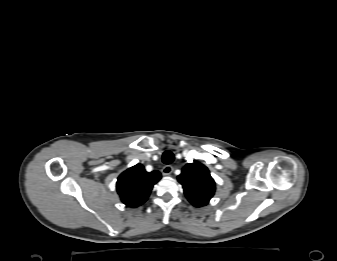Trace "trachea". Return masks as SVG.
I'll use <instances>...</instances> for the list:
<instances>
[{"mask_svg":"<svg viewBox=\"0 0 337 261\" xmlns=\"http://www.w3.org/2000/svg\"><path fill=\"white\" fill-rule=\"evenodd\" d=\"M162 161L164 164H171L174 161V154L167 150L162 155Z\"/></svg>","mask_w":337,"mask_h":261,"instance_id":"obj_1","label":"trachea"}]
</instances>
